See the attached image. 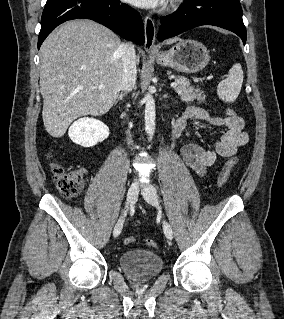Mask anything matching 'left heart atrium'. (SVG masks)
Wrapping results in <instances>:
<instances>
[{"label":"left heart atrium","mask_w":284,"mask_h":319,"mask_svg":"<svg viewBox=\"0 0 284 319\" xmlns=\"http://www.w3.org/2000/svg\"><path fill=\"white\" fill-rule=\"evenodd\" d=\"M128 3L141 8H154L164 4L165 0H125Z\"/></svg>","instance_id":"39dd6f15"}]
</instances>
